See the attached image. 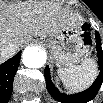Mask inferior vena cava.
I'll list each match as a JSON object with an SVG mask.
<instances>
[{
	"mask_svg": "<svg viewBox=\"0 0 103 103\" xmlns=\"http://www.w3.org/2000/svg\"><path fill=\"white\" fill-rule=\"evenodd\" d=\"M14 46V44L13 43H9V44H6L4 47L3 46H1V51L2 50H9L10 48H12Z\"/></svg>",
	"mask_w": 103,
	"mask_h": 103,
	"instance_id": "1",
	"label": "inferior vena cava"
}]
</instances>
